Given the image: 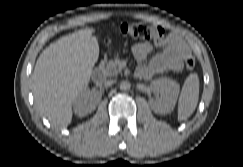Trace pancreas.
<instances>
[{
	"instance_id": "pancreas-1",
	"label": "pancreas",
	"mask_w": 243,
	"mask_h": 167,
	"mask_svg": "<svg viewBox=\"0 0 243 167\" xmlns=\"http://www.w3.org/2000/svg\"><path fill=\"white\" fill-rule=\"evenodd\" d=\"M102 70L106 76H117L121 73L120 60H110L101 64Z\"/></svg>"
}]
</instances>
